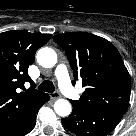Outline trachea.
<instances>
[{
  "label": "trachea",
  "instance_id": "trachea-1",
  "mask_svg": "<svg viewBox=\"0 0 136 136\" xmlns=\"http://www.w3.org/2000/svg\"><path fill=\"white\" fill-rule=\"evenodd\" d=\"M38 89L51 93V92H54L55 87L51 81L45 80L39 85Z\"/></svg>",
  "mask_w": 136,
  "mask_h": 136
}]
</instances>
